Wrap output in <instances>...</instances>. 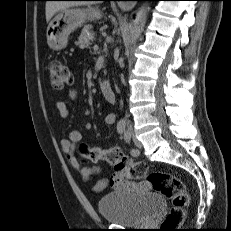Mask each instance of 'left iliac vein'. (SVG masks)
<instances>
[{
    "instance_id": "1",
    "label": "left iliac vein",
    "mask_w": 231,
    "mask_h": 231,
    "mask_svg": "<svg viewBox=\"0 0 231 231\" xmlns=\"http://www.w3.org/2000/svg\"><path fill=\"white\" fill-rule=\"evenodd\" d=\"M132 139L136 147L141 148L142 143L137 139V137L132 133Z\"/></svg>"
}]
</instances>
